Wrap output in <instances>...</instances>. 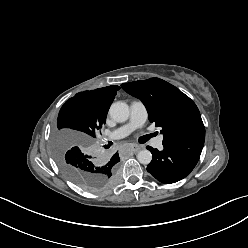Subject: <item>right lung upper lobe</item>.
<instances>
[{"label": "right lung upper lobe", "mask_w": 248, "mask_h": 248, "mask_svg": "<svg viewBox=\"0 0 248 248\" xmlns=\"http://www.w3.org/2000/svg\"><path fill=\"white\" fill-rule=\"evenodd\" d=\"M119 89V86L113 85L91 91L80 92L78 95L85 99V105L89 110L98 114L107 115L109 107ZM118 158V154H114L112 157L113 160H117Z\"/></svg>", "instance_id": "1"}]
</instances>
